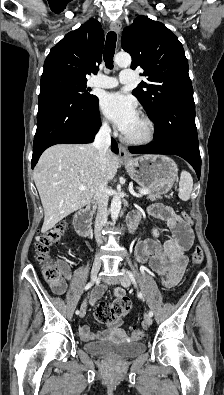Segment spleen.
Returning a JSON list of instances; mask_svg holds the SVG:
<instances>
[{"mask_svg":"<svg viewBox=\"0 0 224 395\" xmlns=\"http://www.w3.org/2000/svg\"><path fill=\"white\" fill-rule=\"evenodd\" d=\"M192 188L193 179L191 174L187 171H182L179 181V198L183 201L189 200Z\"/></svg>","mask_w":224,"mask_h":395,"instance_id":"obj_1","label":"spleen"}]
</instances>
